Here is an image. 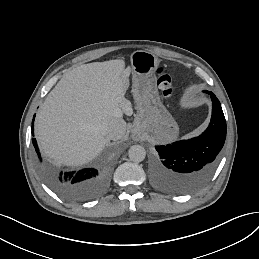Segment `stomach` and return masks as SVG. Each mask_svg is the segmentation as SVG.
I'll use <instances>...</instances> for the list:
<instances>
[{
	"label": "stomach",
	"mask_w": 259,
	"mask_h": 259,
	"mask_svg": "<svg viewBox=\"0 0 259 259\" xmlns=\"http://www.w3.org/2000/svg\"><path fill=\"white\" fill-rule=\"evenodd\" d=\"M159 59L147 51H135L131 55L132 72L135 75L152 76L159 67Z\"/></svg>",
	"instance_id": "stomach-1"
}]
</instances>
